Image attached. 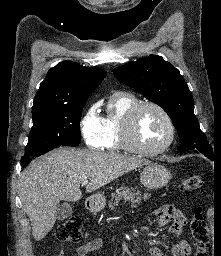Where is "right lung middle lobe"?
<instances>
[{"mask_svg": "<svg viewBox=\"0 0 221 256\" xmlns=\"http://www.w3.org/2000/svg\"><path fill=\"white\" fill-rule=\"evenodd\" d=\"M86 101L73 106L39 109L32 111L33 127L29 134L21 165L54 148L81 142L80 119Z\"/></svg>", "mask_w": 221, "mask_h": 256, "instance_id": "1", "label": "right lung middle lobe"}]
</instances>
